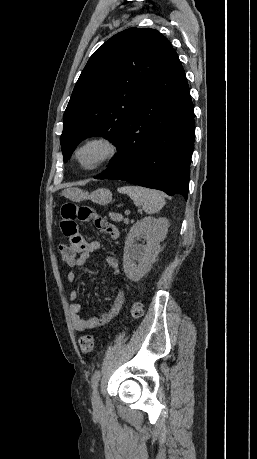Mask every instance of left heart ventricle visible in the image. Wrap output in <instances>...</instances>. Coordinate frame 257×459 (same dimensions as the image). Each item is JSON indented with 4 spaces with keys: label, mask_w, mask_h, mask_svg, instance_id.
<instances>
[{
    "label": "left heart ventricle",
    "mask_w": 257,
    "mask_h": 459,
    "mask_svg": "<svg viewBox=\"0 0 257 459\" xmlns=\"http://www.w3.org/2000/svg\"><path fill=\"white\" fill-rule=\"evenodd\" d=\"M104 154V149L100 146H89L79 153V159L82 164L90 165L98 160Z\"/></svg>",
    "instance_id": "left-heart-ventricle-1"
}]
</instances>
